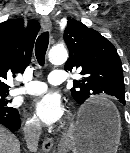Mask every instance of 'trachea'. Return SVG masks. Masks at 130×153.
<instances>
[{
    "instance_id": "trachea-1",
    "label": "trachea",
    "mask_w": 130,
    "mask_h": 153,
    "mask_svg": "<svg viewBox=\"0 0 130 153\" xmlns=\"http://www.w3.org/2000/svg\"><path fill=\"white\" fill-rule=\"evenodd\" d=\"M49 44V33H42L35 44V55L40 66H43L45 63V54Z\"/></svg>"
}]
</instances>
